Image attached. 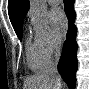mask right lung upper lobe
Segmentation results:
<instances>
[{
  "label": "right lung upper lobe",
  "instance_id": "cb5924a9",
  "mask_svg": "<svg viewBox=\"0 0 89 89\" xmlns=\"http://www.w3.org/2000/svg\"><path fill=\"white\" fill-rule=\"evenodd\" d=\"M29 7V0H8L9 18L15 30L23 23Z\"/></svg>",
  "mask_w": 89,
  "mask_h": 89
}]
</instances>
